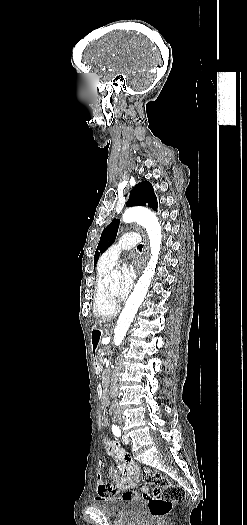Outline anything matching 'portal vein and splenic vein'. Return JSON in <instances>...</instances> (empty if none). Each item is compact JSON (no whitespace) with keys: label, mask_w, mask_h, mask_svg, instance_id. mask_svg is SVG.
Here are the masks:
<instances>
[{"label":"portal vein and splenic vein","mask_w":247,"mask_h":525,"mask_svg":"<svg viewBox=\"0 0 247 525\" xmlns=\"http://www.w3.org/2000/svg\"><path fill=\"white\" fill-rule=\"evenodd\" d=\"M101 356H104V353H101ZM107 358H103V364H106Z\"/></svg>","instance_id":"1"}]
</instances>
